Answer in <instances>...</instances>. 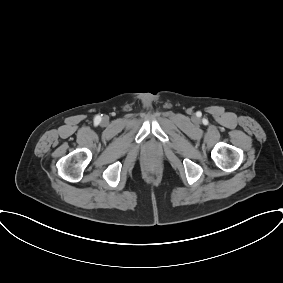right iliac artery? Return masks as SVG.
<instances>
[{
    "label": "right iliac artery",
    "mask_w": 283,
    "mask_h": 283,
    "mask_svg": "<svg viewBox=\"0 0 283 283\" xmlns=\"http://www.w3.org/2000/svg\"><path fill=\"white\" fill-rule=\"evenodd\" d=\"M100 120H101V118H100L99 116H96V117H95V122H96V123H99Z\"/></svg>",
    "instance_id": "1"
}]
</instances>
